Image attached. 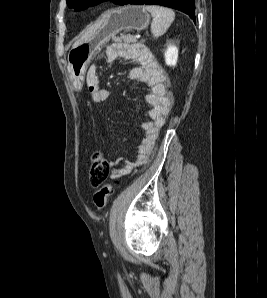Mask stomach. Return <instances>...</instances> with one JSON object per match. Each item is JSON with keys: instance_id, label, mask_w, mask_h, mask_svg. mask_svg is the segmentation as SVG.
Listing matches in <instances>:
<instances>
[{"instance_id": "0dacf381", "label": "stomach", "mask_w": 267, "mask_h": 298, "mask_svg": "<svg viewBox=\"0 0 267 298\" xmlns=\"http://www.w3.org/2000/svg\"><path fill=\"white\" fill-rule=\"evenodd\" d=\"M101 20L102 25L90 39L68 53V75L76 90L82 88L86 69L102 47L121 31L146 29L150 15L143 6L128 5L105 13Z\"/></svg>"}]
</instances>
